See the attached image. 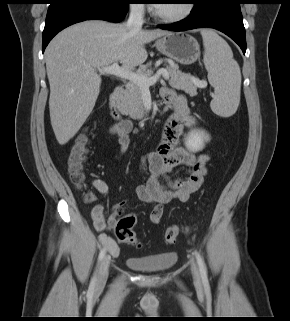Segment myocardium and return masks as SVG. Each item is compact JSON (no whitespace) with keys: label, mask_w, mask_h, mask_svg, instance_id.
<instances>
[{"label":"myocardium","mask_w":290,"mask_h":321,"mask_svg":"<svg viewBox=\"0 0 290 321\" xmlns=\"http://www.w3.org/2000/svg\"><path fill=\"white\" fill-rule=\"evenodd\" d=\"M193 9H194V4L192 3L191 0H187V1H184L183 9L177 14H174V15L162 14L157 10L156 5L152 6L151 13L156 20L162 23L172 24V23L183 21L184 19L188 18L193 12Z\"/></svg>","instance_id":"f54148a6"}]
</instances>
